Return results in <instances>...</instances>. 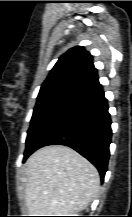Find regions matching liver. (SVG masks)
<instances>
[{
    "instance_id": "obj_1",
    "label": "liver",
    "mask_w": 132,
    "mask_h": 217,
    "mask_svg": "<svg viewBox=\"0 0 132 217\" xmlns=\"http://www.w3.org/2000/svg\"><path fill=\"white\" fill-rule=\"evenodd\" d=\"M25 200L31 216H67L85 209L98 195L97 169L75 150L46 146L25 163Z\"/></svg>"
}]
</instances>
